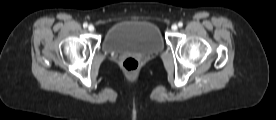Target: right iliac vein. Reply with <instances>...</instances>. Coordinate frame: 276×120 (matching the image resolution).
I'll list each match as a JSON object with an SVG mask.
<instances>
[{
    "mask_svg": "<svg viewBox=\"0 0 276 120\" xmlns=\"http://www.w3.org/2000/svg\"><path fill=\"white\" fill-rule=\"evenodd\" d=\"M88 30H89L90 32H93V31L95 30V28H94L93 25H89V26H88Z\"/></svg>",
    "mask_w": 276,
    "mask_h": 120,
    "instance_id": "1",
    "label": "right iliac vein"
}]
</instances>
